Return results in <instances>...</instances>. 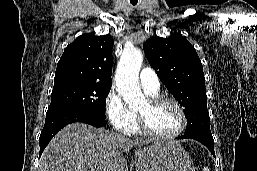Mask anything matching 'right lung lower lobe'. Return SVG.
<instances>
[{
  "instance_id": "obj_1",
  "label": "right lung lower lobe",
  "mask_w": 257,
  "mask_h": 171,
  "mask_svg": "<svg viewBox=\"0 0 257 171\" xmlns=\"http://www.w3.org/2000/svg\"><path fill=\"white\" fill-rule=\"evenodd\" d=\"M74 122H83L95 127H102L107 123L105 118L78 108H62L47 111L44 128L39 138V157L53 136L64 126Z\"/></svg>"
}]
</instances>
